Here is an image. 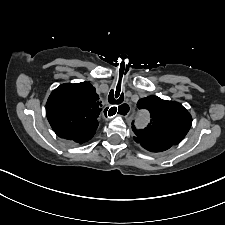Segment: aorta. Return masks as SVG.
Instances as JSON below:
<instances>
[{
  "label": "aorta",
  "instance_id": "1",
  "mask_svg": "<svg viewBox=\"0 0 225 225\" xmlns=\"http://www.w3.org/2000/svg\"><path fill=\"white\" fill-rule=\"evenodd\" d=\"M149 121V117L146 116V117H139L137 120H136V125L138 128H143L146 126V124L148 123Z\"/></svg>",
  "mask_w": 225,
  "mask_h": 225
}]
</instances>
